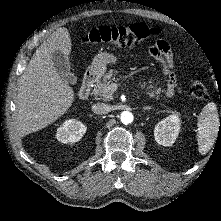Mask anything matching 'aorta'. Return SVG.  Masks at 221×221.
<instances>
[{
  "mask_svg": "<svg viewBox=\"0 0 221 221\" xmlns=\"http://www.w3.org/2000/svg\"><path fill=\"white\" fill-rule=\"evenodd\" d=\"M120 120L123 124H129L133 121V114L129 111H124L120 115Z\"/></svg>",
  "mask_w": 221,
  "mask_h": 221,
  "instance_id": "obj_1",
  "label": "aorta"
}]
</instances>
